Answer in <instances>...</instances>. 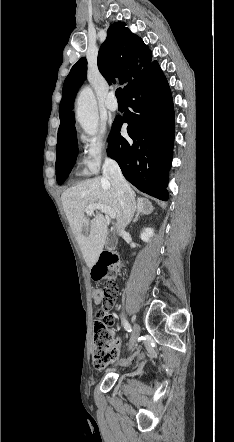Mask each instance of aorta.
<instances>
[{
  "instance_id": "obj_1",
  "label": "aorta",
  "mask_w": 234,
  "mask_h": 442,
  "mask_svg": "<svg viewBox=\"0 0 234 442\" xmlns=\"http://www.w3.org/2000/svg\"><path fill=\"white\" fill-rule=\"evenodd\" d=\"M77 121L84 132L95 135L98 130V111L96 99L90 87L81 90L77 98Z\"/></svg>"
}]
</instances>
